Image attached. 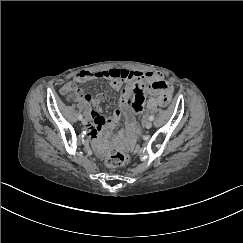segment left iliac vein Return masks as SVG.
Listing matches in <instances>:
<instances>
[{"label":"left iliac vein","mask_w":243,"mask_h":243,"mask_svg":"<svg viewBox=\"0 0 243 243\" xmlns=\"http://www.w3.org/2000/svg\"><path fill=\"white\" fill-rule=\"evenodd\" d=\"M152 127V122L151 121H147L146 123H145V128L146 129H150Z\"/></svg>","instance_id":"obj_1"}]
</instances>
